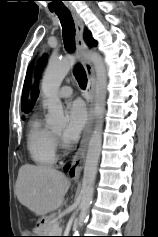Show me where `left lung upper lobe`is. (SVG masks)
<instances>
[{"label":"left lung upper lobe","mask_w":158,"mask_h":237,"mask_svg":"<svg viewBox=\"0 0 158 237\" xmlns=\"http://www.w3.org/2000/svg\"><path fill=\"white\" fill-rule=\"evenodd\" d=\"M93 45H95V43L93 42ZM29 84H30V68L28 70L26 79H25V83H24V87H23V93H22V105L23 102L25 101L27 95H28V91H29Z\"/></svg>","instance_id":"obj_1"}]
</instances>
